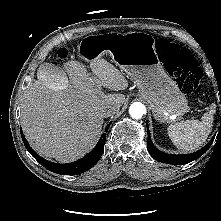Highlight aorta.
Wrapping results in <instances>:
<instances>
[{
	"mask_svg": "<svg viewBox=\"0 0 221 221\" xmlns=\"http://www.w3.org/2000/svg\"><path fill=\"white\" fill-rule=\"evenodd\" d=\"M129 114L133 119H139L146 114V107L140 102H134L129 108Z\"/></svg>",
	"mask_w": 221,
	"mask_h": 221,
	"instance_id": "aorta-1",
	"label": "aorta"
}]
</instances>
